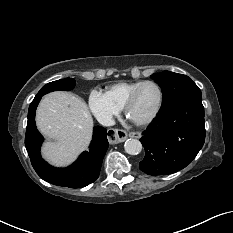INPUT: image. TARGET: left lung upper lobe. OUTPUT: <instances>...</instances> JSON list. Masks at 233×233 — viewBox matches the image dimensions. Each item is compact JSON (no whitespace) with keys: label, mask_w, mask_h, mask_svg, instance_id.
Here are the masks:
<instances>
[{"label":"left lung upper lobe","mask_w":233,"mask_h":233,"mask_svg":"<svg viewBox=\"0 0 233 233\" xmlns=\"http://www.w3.org/2000/svg\"><path fill=\"white\" fill-rule=\"evenodd\" d=\"M162 89V107L167 106L181 98L192 95H201L197 85L186 75L170 71L153 74L151 76Z\"/></svg>","instance_id":"left-lung-upper-lobe-1"}]
</instances>
